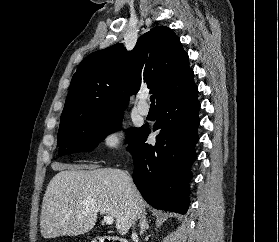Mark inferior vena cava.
Returning a JSON list of instances; mask_svg holds the SVG:
<instances>
[{"label": "inferior vena cava", "instance_id": "inferior-vena-cava-1", "mask_svg": "<svg viewBox=\"0 0 279 242\" xmlns=\"http://www.w3.org/2000/svg\"><path fill=\"white\" fill-rule=\"evenodd\" d=\"M133 225H135V221L133 222ZM136 235L135 232L132 233V237H134Z\"/></svg>", "mask_w": 279, "mask_h": 242}]
</instances>
